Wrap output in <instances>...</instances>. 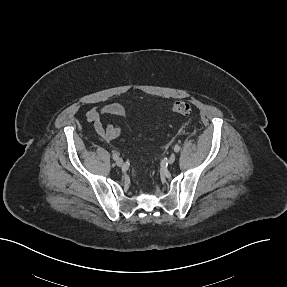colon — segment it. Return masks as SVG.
Returning a JSON list of instances; mask_svg holds the SVG:
<instances>
[{
	"label": "colon",
	"instance_id": "obj_1",
	"mask_svg": "<svg viewBox=\"0 0 287 287\" xmlns=\"http://www.w3.org/2000/svg\"><path fill=\"white\" fill-rule=\"evenodd\" d=\"M171 110L174 114L187 116L192 112V105L187 101H175Z\"/></svg>",
	"mask_w": 287,
	"mask_h": 287
}]
</instances>
